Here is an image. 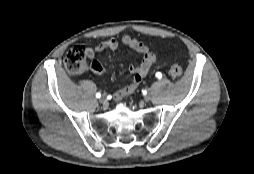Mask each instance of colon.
I'll return each mask as SVG.
<instances>
[{
	"instance_id": "1",
	"label": "colon",
	"mask_w": 254,
	"mask_h": 174,
	"mask_svg": "<svg viewBox=\"0 0 254 174\" xmlns=\"http://www.w3.org/2000/svg\"><path fill=\"white\" fill-rule=\"evenodd\" d=\"M64 66L70 74H79L85 71L88 67L85 47L83 45L71 47L64 58ZM182 73V68L179 65L170 67V74L173 78H180Z\"/></svg>"
}]
</instances>
